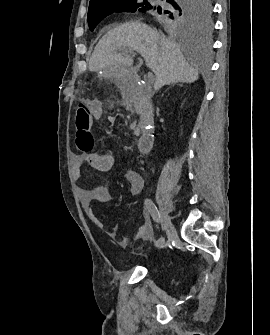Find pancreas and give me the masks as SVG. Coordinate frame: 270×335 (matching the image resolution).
I'll return each instance as SVG.
<instances>
[{
	"mask_svg": "<svg viewBox=\"0 0 270 335\" xmlns=\"http://www.w3.org/2000/svg\"><path fill=\"white\" fill-rule=\"evenodd\" d=\"M134 134L135 136H139V130H135Z\"/></svg>",
	"mask_w": 270,
	"mask_h": 335,
	"instance_id": "pancreas-1",
	"label": "pancreas"
}]
</instances>
